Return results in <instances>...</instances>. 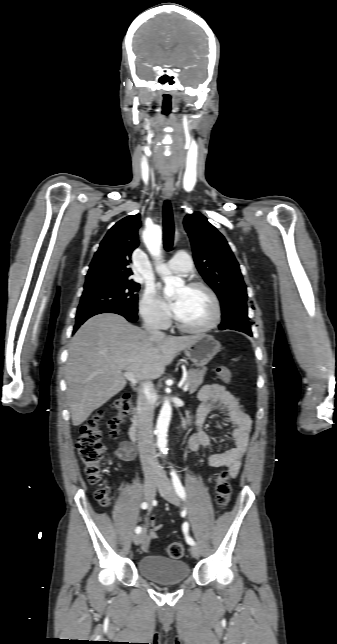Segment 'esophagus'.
Segmentation results:
<instances>
[{"label":"esophagus","instance_id":"34e87169","mask_svg":"<svg viewBox=\"0 0 337 644\" xmlns=\"http://www.w3.org/2000/svg\"><path fill=\"white\" fill-rule=\"evenodd\" d=\"M173 192H174V187H173L172 182H166L165 183V188H164V196H165V198L166 199H171L172 196H173ZM177 238H178V232H176V234H175V239H177Z\"/></svg>","mask_w":337,"mask_h":644}]
</instances>
